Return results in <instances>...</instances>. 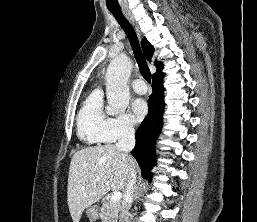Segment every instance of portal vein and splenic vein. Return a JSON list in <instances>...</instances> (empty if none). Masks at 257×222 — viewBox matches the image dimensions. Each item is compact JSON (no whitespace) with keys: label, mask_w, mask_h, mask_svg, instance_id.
Listing matches in <instances>:
<instances>
[{"label":"portal vein and splenic vein","mask_w":257,"mask_h":222,"mask_svg":"<svg viewBox=\"0 0 257 222\" xmlns=\"http://www.w3.org/2000/svg\"><path fill=\"white\" fill-rule=\"evenodd\" d=\"M122 199V193L119 191H115L112 193L111 197H110V201L111 202H119Z\"/></svg>","instance_id":"portal-vein-and-splenic-vein-1"}]
</instances>
